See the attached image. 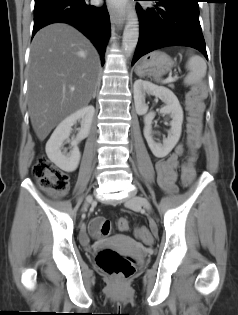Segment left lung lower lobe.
Returning <instances> with one entry per match:
<instances>
[{"instance_id":"0a47b994","label":"left lung lower lobe","mask_w":238,"mask_h":315,"mask_svg":"<svg viewBox=\"0 0 238 315\" xmlns=\"http://www.w3.org/2000/svg\"><path fill=\"white\" fill-rule=\"evenodd\" d=\"M136 1V0H135ZM153 8L137 12L140 35L132 65L143 55L166 46H187L207 57L199 22V0H152Z\"/></svg>"}]
</instances>
